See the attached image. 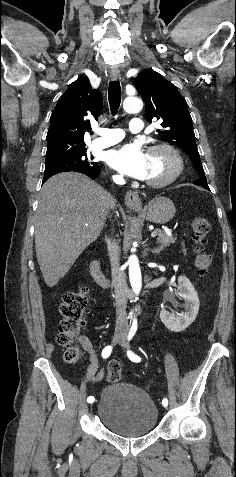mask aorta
Wrapping results in <instances>:
<instances>
[{"label":"aorta","mask_w":236,"mask_h":477,"mask_svg":"<svg viewBox=\"0 0 236 477\" xmlns=\"http://www.w3.org/2000/svg\"><path fill=\"white\" fill-rule=\"evenodd\" d=\"M143 107L142 101L137 97H127L123 101V108L127 113H137ZM129 266V279L132 290L136 296L140 294L142 287L141 270L136 255H131L127 262ZM138 297H136V300Z\"/></svg>","instance_id":"obj_1"}]
</instances>
